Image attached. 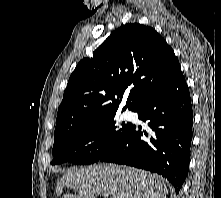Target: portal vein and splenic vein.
<instances>
[{"label":"portal vein and splenic vein","mask_w":221,"mask_h":198,"mask_svg":"<svg viewBox=\"0 0 221 198\" xmlns=\"http://www.w3.org/2000/svg\"><path fill=\"white\" fill-rule=\"evenodd\" d=\"M106 198H108V195H104Z\"/></svg>","instance_id":"18ae733b"}]
</instances>
